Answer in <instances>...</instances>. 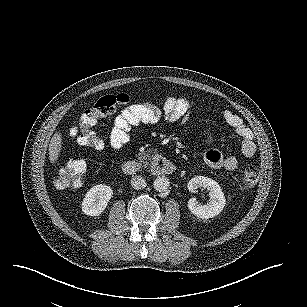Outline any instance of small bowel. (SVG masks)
<instances>
[{
	"instance_id": "small-bowel-1",
	"label": "small bowel",
	"mask_w": 307,
	"mask_h": 307,
	"mask_svg": "<svg viewBox=\"0 0 307 307\" xmlns=\"http://www.w3.org/2000/svg\"><path fill=\"white\" fill-rule=\"evenodd\" d=\"M194 102L185 97H168L162 109L147 102L136 103L124 108L113 121L109 143L113 149H120L131 136L134 126L140 124H155L161 119L169 123L184 125ZM223 119L240 138L241 150L246 157H253L256 145L252 131L245 125L242 118L236 113L225 110ZM76 136V133H73ZM204 161L212 168H224L234 171L238 168V160L232 155H223L216 148H209L204 154Z\"/></svg>"
}]
</instances>
